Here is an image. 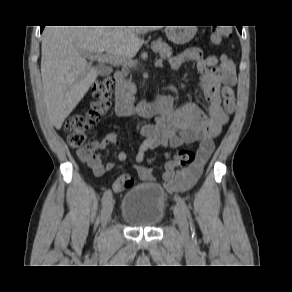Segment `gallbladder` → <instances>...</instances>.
<instances>
[{"label":"gallbladder","instance_id":"gallbladder-1","mask_svg":"<svg viewBox=\"0 0 292 292\" xmlns=\"http://www.w3.org/2000/svg\"><path fill=\"white\" fill-rule=\"evenodd\" d=\"M98 71L101 75H106L108 74L106 68L104 66H99Z\"/></svg>","mask_w":292,"mask_h":292}]
</instances>
